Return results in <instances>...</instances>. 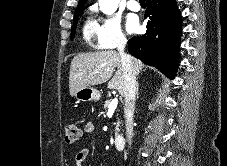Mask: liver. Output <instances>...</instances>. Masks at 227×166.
Masks as SVG:
<instances>
[{
  "mask_svg": "<svg viewBox=\"0 0 227 166\" xmlns=\"http://www.w3.org/2000/svg\"><path fill=\"white\" fill-rule=\"evenodd\" d=\"M131 61L136 74L140 73L144 68V64L133 57H131ZM115 68H117V71L112 77ZM107 81H109V89H116L123 95L124 77L118 52L104 50L81 53L72 59L69 74V91L72 97L81 88L101 85Z\"/></svg>",
  "mask_w": 227,
  "mask_h": 166,
  "instance_id": "obj_1",
  "label": "liver"
}]
</instances>
